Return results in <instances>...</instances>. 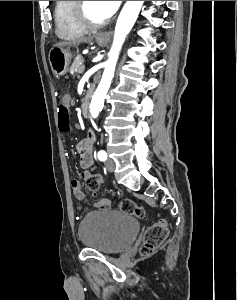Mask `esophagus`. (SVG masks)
<instances>
[{"instance_id": "1", "label": "esophagus", "mask_w": 237, "mask_h": 300, "mask_svg": "<svg viewBox=\"0 0 237 300\" xmlns=\"http://www.w3.org/2000/svg\"><path fill=\"white\" fill-rule=\"evenodd\" d=\"M109 38V34L108 33H99L97 35V39H100V40H104V39H108Z\"/></svg>"}]
</instances>
